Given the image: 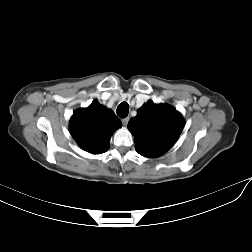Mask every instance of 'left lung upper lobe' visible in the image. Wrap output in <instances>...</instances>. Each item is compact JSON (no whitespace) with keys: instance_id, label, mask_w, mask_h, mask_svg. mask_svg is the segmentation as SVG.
Wrapping results in <instances>:
<instances>
[{"instance_id":"obj_1","label":"left lung upper lobe","mask_w":252,"mask_h":252,"mask_svg":"<svg viewBox=\"0 0 252 252\" xmlns=\"http://www.w3.org/2000/svg\"><path fill=\"white\" fill-rule=\"evenodd\" d=\"M184 128L181 114L168 104L149 100L128 122L134 136L136 151L148 158L166 153L178 140Z\"/></svg>"}]
</instances>
